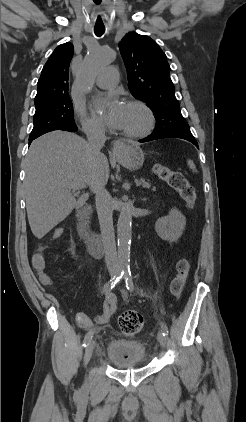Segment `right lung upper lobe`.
I'll list each match as a JSON object with an SVG mask.
<instances>
[{
	"instance_id": "cb5924a9",
	"label": "right lung upper lobe",
	"mask_w": 246,
	"mask_h": 422,
	"mask_svg": "<svg viewBox=\"0 0 246 422\" xmlns=\"http://www.w3.org/2000/svg\"><path fill=\"white\" fill-rule=\"evenodd\" d=\"M73 53L72 43L67 42L59 45L51 54L38 80L36 109L69 96L68 72Z\"/></svg>"
}]
</instances>
